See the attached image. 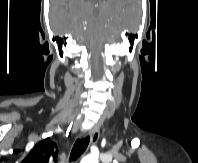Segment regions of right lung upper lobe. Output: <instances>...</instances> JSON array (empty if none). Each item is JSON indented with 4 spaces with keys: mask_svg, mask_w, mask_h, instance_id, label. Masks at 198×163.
Segmentation results:
<instances>
[{
    "mask_svg": "<svg viewBox=\"0 0 198 163\" xmlns=\"http://www.w3.org/2000/svg\"><path fill=\"white\" fill-rule=\"evenodd\" d=\"M58 149L50 138H46L35 145L21 163H56Z\"/></svg>",
    "mask_w": 198,
    "mask_h": 163,
    "instance_id": "obj_1",
    "label": "right lung upper lobe"
}]
</instances>
